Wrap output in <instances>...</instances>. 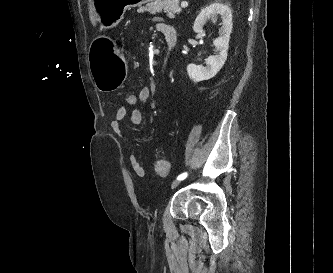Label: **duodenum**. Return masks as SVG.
<instances>
[{
  "mask_svg": "<svg viewBox=\"0 0 333 273\" xmlns=\"http://www.w3.org/2000/svg\"><path fill=\"white\" fill-rule=\"evenodd\" d=\"M163 34H164V38H165L166 45H167V50H168L167 56L169 57L171 51L176 46L177 34H176V31L173 27H168V26H166L164 28ZM167 63H168V59L164 63V70L167 69Z\"/></svg>",
  "mask_w": 333,
  "mask_h": 273,
  "instance_id": "duodenum-1",
  "label": "duodenum"
}]
</instances>
